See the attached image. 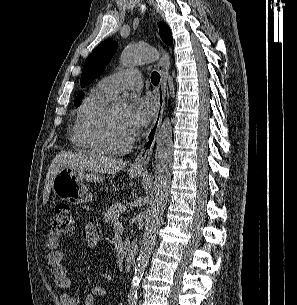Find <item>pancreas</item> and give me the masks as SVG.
Listing matches in <instances>:
<instances>
[{
    "mask_svg": "<svg viewBox=\"0 0 297 305\" xmlns=\"http://www.w3.org/2000/svg\"><path fill=\"white\" fill-rule=\"evenodd\" d=\"M124 207L120 202H113L112 205L104 212L103 218L105 222H109L118 226L119 218L122 216ZM126 245L129 243V239L125 240Z\"/></svg>",
    "mask_w": 297,
    "mask_h": 305,
    "instance_id": "pancreas-1",
    "label": "pancreas"
}]
</instances>
